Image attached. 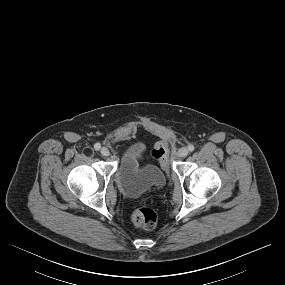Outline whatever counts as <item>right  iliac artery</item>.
<instances>
[{"mask_svg":"<svg viewBox=\"0 0 285 285\" xmlns=\"http://www.w3.org/2000/svg\"><path fill=\"white\" fill-rule=\"evenodd\" d=\"M101 148V145L99 144V143H96L95 145H94V149L95 150H99Z\"/></svg>","mask_w":285,"mask_h":285,"instance_id":"1","label":"right iliac artery"}]
</instances>
